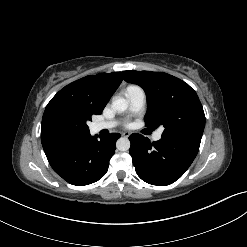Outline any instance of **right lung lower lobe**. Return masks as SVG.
Here are the masks:
<instances>
[{"instance_id": "98d812e1", "label": "right lung lower lobe", "mask_w": 247, "mask_h": 247, "mask_svg": "<svg viewBox=\"0 0 247 247\" xmlns=\"http://www.w3.org/2000/svg\"><path fill=\"white\" fill-rule=\"evenodd\" d=\"M117 134L89 135L83 141L46 152L53 170L70 184L83 186L101 179L115 153Z\"/></svg>"}]
</instances>
